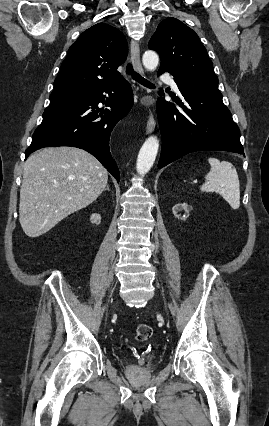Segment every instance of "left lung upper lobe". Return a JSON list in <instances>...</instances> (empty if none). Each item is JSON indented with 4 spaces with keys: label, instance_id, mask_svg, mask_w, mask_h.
<instances>
[{
    "label": "left lung upper lobe",
    "instance_id": "1",
    "mask_svg": "<svg viewBox=\"0 0 269 426\" xmlns=\"http://www.w3.org/2000/svg\"><path fill=\"white\" fill-rule=\"evenodd\" d=\"M148 47L160 55V68L196 78L198 82L218 83L213 64L198 35L180 20H163Z\"/></svg>",
    "mask_w": 269,
    "mask_h": 426
}]
</instances>
